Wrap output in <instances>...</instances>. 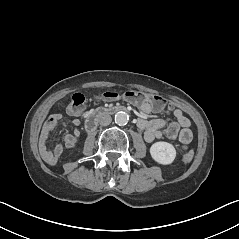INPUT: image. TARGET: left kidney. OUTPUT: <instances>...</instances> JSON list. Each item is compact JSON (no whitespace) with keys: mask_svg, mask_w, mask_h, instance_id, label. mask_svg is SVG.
<instances>
[{"mask_svg":"<svg viewBox=\"0 0 239 239\" xmlns=\"http://www.w3.org/2000/svg\"><path fill=\"white\" fill-rule=\"evenodd\" d=\"M149 153L151 158L160 165H171L177 156L175 147L164 141L153 143Z\"/></svg>","mask_w":239,"mask_h":239,"instance_id":"obj_1","label":"left kidney"}]
</instances>
